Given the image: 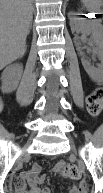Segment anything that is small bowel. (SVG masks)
<instances>
[{"instance_id":"small-bowel-1","label":"small bowel","mask_w":103,"mask_h":193,"mask_svg":"<svg viewBox=\"0 0 103 193\" xmlns=\"http://www.w3.org/2000/svg\"><path fill=\"white\" fill-rule=\"evenodd\" d=\"M44 181L45 176L41 175V166L34 163L14 180L13 189L15 193H50L48 187H42ZM26 183L30 186L29 191H26ZM67 193H86V186L84 184L69 186Z\"/></svg>"}]
</instances>
